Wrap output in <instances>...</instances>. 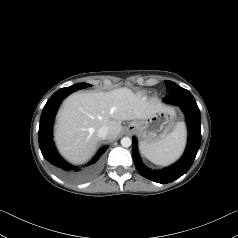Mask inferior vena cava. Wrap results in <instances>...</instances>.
I'll use <instances>...</instances> for the list:
<instances>
[{"label": "inferior vena cava", "mask_w": 238, "mask_h": 238, "mask_svg": "<svg viewBox=\"0 0 238 238\" xmlns=\"http://www.w3.org/2000/svg\"><path fill=\"white\" fill-rule=\"evenodd\" d=\"M108 132H109L108 128L106 126H103V127L98 129L97 134H98L99 138L106 139L107 136H108Z\"/></svg>", "instance_id": "602c4592"}]
</instances>
